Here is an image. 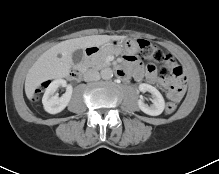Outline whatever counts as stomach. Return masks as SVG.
<instances>
[{
  "label": "stomach",
  "mask_w": 219,
  "mask_h": 174,
  "mask_svg": "<svg viewBox=\"0 0 219 174\" xmlns=\"http://www.w3.org/2000/svg\"><path fill=\"white\" fill-rule=\"evenodd\" d=\"M139 49L138 43L133 39L112 40L109 43L99 48L100 52H125L128 54H135Z\"/></svg>",
  "instance_id": "stomach-1"
}]
</instances>
